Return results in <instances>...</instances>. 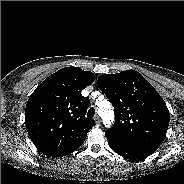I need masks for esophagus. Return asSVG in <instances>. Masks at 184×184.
<instances>
[{
    "mask_svg": "<svg viewBox=\"0 0 184 184\" xmlns=\"http://www.w3.org/2000/svg\"><path fill=\"white\" fill-rule=\"evenodd\" d=\"M95 121H96L97 125L101 124V119L98 115L95 116Z\"/></svg>",
    "mask_w": 184,
    "mask_h": 184,
    "instance_id": "obj_1",
    "label": "esophagus"
}]
</instances>
